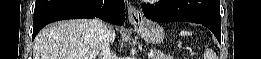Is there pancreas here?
<instances>
[{"instance_id": "obj_1", "label": "pancreas", "mask_w": 261, "mask_h": 59, "mask_svg": "<svg viewBox=\"0 0 261 59\" xmlns=\"http://www.w3.org/2000/svg\"><path fill=\"white\" fill-rule=\"evenodd\" d=\"M150 59H172V57L164 54L163 52L156 51L154 52V56Z\"/></svg>"}]
</instances>
